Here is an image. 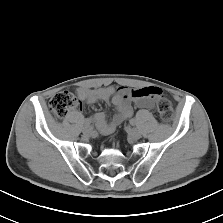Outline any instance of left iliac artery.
Returning a JSON list of instances; mask_svg holds the SVG:
<instances>
[{"instance_id":"44dca946","label":"left iliac artery","mask_w":223,"mask_h":223,"mask_svg":"<svg viewBox=\"0 0 223 223\" xmlns=\"http://www.w3.org/2000/svg\"><path fill=\"white\" fill-rule=\"evenodd\" d=\"M130 124L133 125V126H135V125H137V122H136L135 119H131V120H130Z\"/></svg>"}]
</instances>
